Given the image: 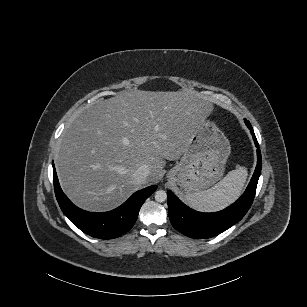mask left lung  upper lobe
Here are the masks:
<instances>
[{
    "instance_id": "left-lung-upper-lobe-1",
    "label": "left lung upper lobe",
    "mask_w": 307,
    "mask_h": 307,
    "mask_svg": "<svg viewBox=\"0 0 307 307\" xmlns=\"http://www.w3.org/2000/svg\"><path fill=\"white\" fill-rule=\"evenodd\" d=\"M245 123H246V124H250V122H249V121H247V120H245Z\"/></svg>"
}]
</instances>
